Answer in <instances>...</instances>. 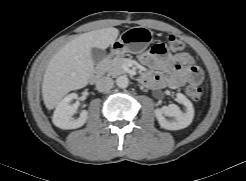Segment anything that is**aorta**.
Here are the masks:
<instances>
[{"label": "aorta", "instance_id": "obj_1", "mask_svg": "<svg viewBox=\"0 0 246 181\" xmlns=\"http://www.w3.org/2000/svg\"><path fill=\"white\" fill-rule=\"evenodd\" d=\"M116 84L118 87L120 88H127L128 85H129V79L127 76H119L117 79H116Z\"/></svg>", "mask_w": 246, "mask_h": 181}]
</instances>
